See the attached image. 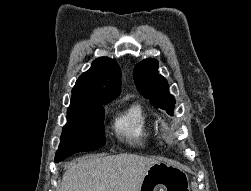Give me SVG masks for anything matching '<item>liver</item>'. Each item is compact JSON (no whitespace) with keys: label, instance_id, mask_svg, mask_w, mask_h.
I'll return each mask as SVG.
<instances>
[{"label":"liver","instance_id":"liver-1","mask_svg":"<svg viewBox=\"0 0 251 191\" xmlns=\"http://www.w3.org/2000/svg\"><path fill=\"white\" fill-rule=\"evenodd\" d=\"M154 163L157 159L134 153L86 155L66 165L60 191H140Z\"/></svg>","mask_w":251,"mask_h":191}]
</instances>
